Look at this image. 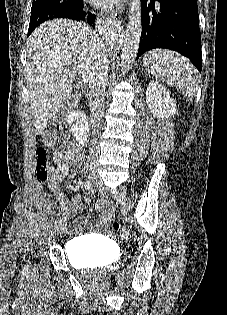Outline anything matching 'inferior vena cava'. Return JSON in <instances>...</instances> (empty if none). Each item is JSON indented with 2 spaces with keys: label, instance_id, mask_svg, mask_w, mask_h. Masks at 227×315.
Returning <instances> with one entry per match:
<instances>
[{
  "label": "inferior vena cava",
  "instance_id": "602c4592",
  "mask_svg": "<svg viewBox=\"0 0 227 315\" xmlns=\"http://www.w3.org/2000/svg\"><path fill=\"white\" fill-rule=\"evenodd\" d=\"M89 108L94 128H99L104 115L105 88L108 82V59L106 53H99L89 79ZM93 151V149H92Z\"/></svg>",
  "mask_w": 227,
  "mask_h": 315
}]
</instances>
